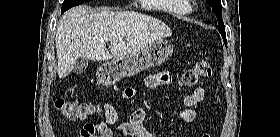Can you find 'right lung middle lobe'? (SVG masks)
Masks as SVG:
<instances>
[{
	"mask_svg": "<svg viewBox=\"0 0 280 137\" xmlns=\"http://www.w3.org/2000/svg\"><path fill=\"white\" fill-rule=\"evenodd\" d=\"M87 1H90V0H64V2L62 4V13L71 7L80 5Z\"/></svg>",
	"mask_w": 280,
	"mask_h": 137,
	"instance_id": "right-lung-middle-lobe-1",
	"label": "right lung middle lobe"
}]
</instances>
